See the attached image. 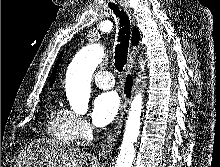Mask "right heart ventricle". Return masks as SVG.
<instances>
[{"instance_id": "1", "label": "right heart ventricle", "mask_w": 220, "mask_h": 167, "mask_svg": "<svg viewBox=\"0 0 220 167\" xmlns=\"http://www.w3.org/2000/svg\"><path fill=\"white\" fill-rule=\"evenodd\" d=\"M46 129L48 135L62 145H73L76 140L67 110L53 107L47 118Z\"/></svg>"}]
</instances>
